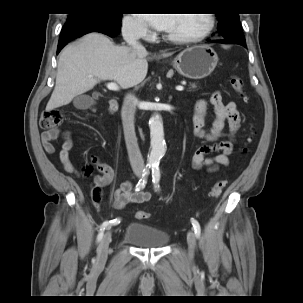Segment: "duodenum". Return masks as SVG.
<instances>
[{
  "label": "duodenum",
  "instance_id": "410a0bca",
  "mask_svg": "<svg viewBox=\"0 0 303 303\" xmlns=\"http://www.w3.org/2000/svg\"><path fill=\"white\" fill-rule=\"evenodd\" d=\"M109 109H110L111 113H114V112L117 111V109H118V103H117L116 100H111L110 101Z\"/></svg>",
  "mask_w": 303,
  "mask_h": 303
}]
</instances>
